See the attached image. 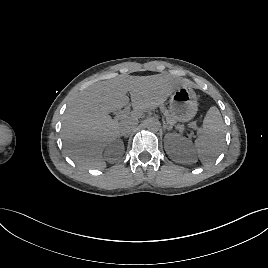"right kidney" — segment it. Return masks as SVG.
Masks as SVG:
<instances>
[{
  "instance_id": "1",
  "label": "right kidney",
  "mask_w": 268,
  "mask_h": 268,
  "mask_svg": "<svg viewBox=\"0 0 268 268\" xmlns=\"http://www.w3.org/2000/svg\"><path fill=\"white\" fill-rule=\"evenodd\" d=\"M124 153V144L117 140L109 144L105 150L104 157L109 163H115L121 159Z\"/></svg>"
}]
</instances>
